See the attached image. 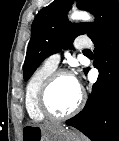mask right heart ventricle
Listing matches in <instances>:
<instances>
[{"label":"right heart ventricle","instance_id":"1","mask_svg":"<svg viewBox=\"0 0 119 141\" xmlns=\"http://www.w3.org/2000/svg\"><path fill=\"white\" fill-rule=\"evenodd\" d=\"M55 70V67L45 62L34 71L27 82L25 89V108L29 117L35 121H43L46 118L38 109L37 95L42 83Z\"/></svg>","mask_w":119,"mask_h":141}]
</instances>
